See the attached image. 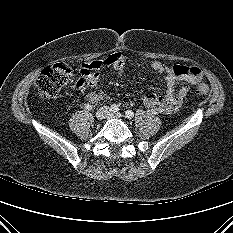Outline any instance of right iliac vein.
Listing matches in <instances>:
<instances>
[{
  "instance_id": "right-iliac-vein-1",
  "label": "right iliac vein",
  "mask_w": 233,
  "mask_h": 233,
  "mask_svg": "<svg viewBox=\"0 0 233 233\" xmlns=\"http://www.w3.org/2000/svg\"><path fill=\"white\" fill-rule=\"evenodd\" d=\"M109 115V110L107 107H101L97 112H96V117L99 120L105 119Z\"/></svg>"
}]
</instances>
